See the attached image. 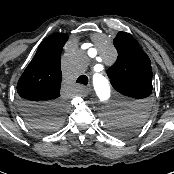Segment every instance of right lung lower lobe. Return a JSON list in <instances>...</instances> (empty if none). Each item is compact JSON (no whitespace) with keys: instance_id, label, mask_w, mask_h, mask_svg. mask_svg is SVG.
<instances>
[{"instance_id":"1","label":"right lung lower lobe","mask_w":174,"mask_h":174,"mask_svg":"<svg viewBox=\"0 0 174 174\" xmlns=\"http://www.w3.org/2000/svg\"><path fill=\"white\" fill-rule=\"evenodd\" d=\"M56 104L58 103L45 104L19 100L20 110L26 119L45 114Z\"/></svg>"}]
</instances>
